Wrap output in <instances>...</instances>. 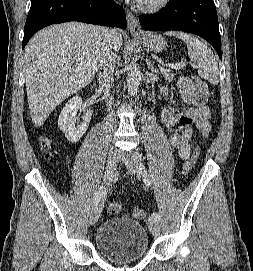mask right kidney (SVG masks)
<instances>
[{"instance_id":"right-kidney-1","label":"right kidney","mask_w":253,"mask_h":271,"mask_svg":"<svg viewBox=\"0 0 253 271\" xmlns=\"http://www.w3.org/2000/svg\"><path fill=\"white\" fill-rule=\"evenodd\" d=\"M82 110V99L79 96L70 99L62 109L58 127L65 134L68 141L76 143L86 132L91 120V111L87 110L83 118V123L79 127H75L74 118L78 111Z\"/></svg>"}]
</instances>
